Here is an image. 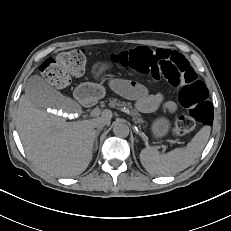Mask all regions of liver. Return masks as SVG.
I'll list each match as a JSON object with an SVG mask.
<instances>
[{
  "mask_svg": "<svg viewBox=\"0 0 231 231\" xmlns=\"http://www.w3.org/2000/svg\"><path fill=\"white\" fill-rule=\"evenodd\" d=\"M112 112L104 110L91 120L66 122L47 113L21 96L16 114L17 129L29 159L43 171L57 177H73L88 167L96 137L94 123L110 125Z\"/></svg>",
  "mask_w": 231,
  "mask_h": 231,
  "instance_id": "1",
  "label": "liver"
}]
</instances>
